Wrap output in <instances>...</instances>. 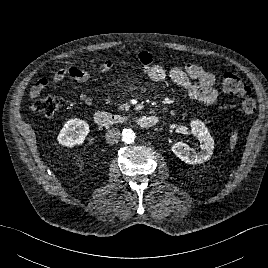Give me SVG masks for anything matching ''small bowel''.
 Returning <instances> with one entry per match:
<instances>
[{
  "label": "small bowel",
  "instance_id": "c3829d8e",
  "mask_svg": "<svg viewBox=\"0 0 268 268\" xmlns=\"http://www.w3.org/2000/svg\"><path fill=\"white\" fill-rule=\"evenodd\" d=\"M138 60L142 66L143 74L153 82L161 83L168 76L179 88L184 90L191 99L204 106H212L218 100V92L214 88L215 78L212 73L206 71L197 64L188 63L183 67H173L166 70L164 67L154 64L151 54L141 51ZM90 68L101 72H110L114 64L109 59L101 60L90 66H68L57 70L53 75V82H61L67 78L78 82H86L90 78ZM48 78L39 79L30 89L31 98H36L49 85ZM80 99L86 105H92L93 99L87 94H81Z\"/></svg>",
  "mask_w": 268,
  "mask_h": 268
}]
</instances>
